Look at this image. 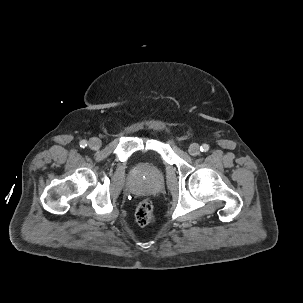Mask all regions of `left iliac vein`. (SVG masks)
<instances>
[{
    "mask_svg": "<svg viewBox=\"0 0 303 303\" xmlns=\"http://www.w3.org/2000/svg\"><path fill=\"white\" fill-rule=\"evenodd\" d=\"M188 151L190 155L197 156L200 153V146L196 143H193L190 145Z\"/></svg>",
    "mask_w": 303,
    "mask_h": 303,
    "instance_id": "left-iliac-vein-1",
    "label": "left iliac vein"
}]
</instances>
